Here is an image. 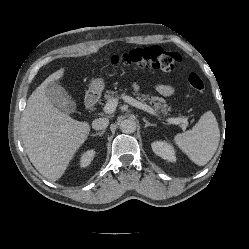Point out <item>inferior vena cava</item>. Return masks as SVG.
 <instances>
[{
	"mask_svg": "<svg viewBox=\"0 0 249 249\" xmlns=\"http://www.w3.org/2000/svg\"><path fill=\"white\" fill-rule=\"evenodd\" d=\"M109 125V119L108 118H98L95 119L92 122V128L95 130H102V129H106Z\"/></svg>",
	"mask_w": 249,
	"mask_h": 249,
	"instance_id": "602c4592",
	"label": "inferior vena cava"
}]
</instances>
